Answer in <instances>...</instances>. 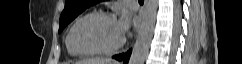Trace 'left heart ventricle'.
<instances>
[{"label": "left heart ventricle", "mask_w": 242, "mask_h": 64, "mask_svg": "<svg viewBox=\"0 0 242 64\" xmlns=\"http://www.w3.org/2000/svg\"><path fill=\"white\" fill-rule=\"evenodd\" d=\"M122 38L116 20L91 17L82 21L75 30L74 41L81 49H106Z\"/></svg>", "instance_id": "1"}]
</instances>
